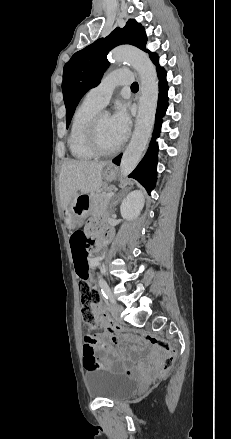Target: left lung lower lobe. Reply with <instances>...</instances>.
Instances as JSON below:
<instances>
[{
    "label": "left lung lower lobe",
    "mask_w": 231,
    "mask_h": 439,
    "mask_svg": "<svg viewBox=\"0 0 231 439\" xmlns=\"http://www.w3.org/2000/svg\"><path fill=\"white\" fill-rule=\"evenodd\" d=\"M155 57L156 54L150 57L157 66V72L159 77V97L156 111L155 127L147 153L145 154L142 161L135 168V170L129 175V177L139 181L146 188L148 193H150L155 187V182L157 178L156 167L158 154V144L155 140L159 137L162 123L161 118L165 115L168 107V87L166 82V72L163 68L159 66L158 61L155 60ZM121 156L122 154L113 159L112 162L116 165H119Z\"/></svg>",
    "instance_id": "1"
}]
</instances>
